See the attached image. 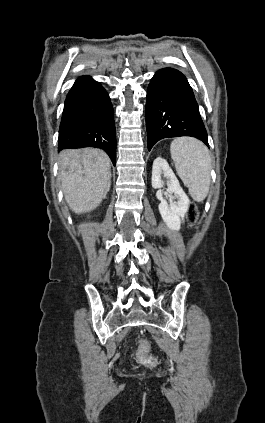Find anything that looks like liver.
<instances>
[{
    "instance_id": "liver-1",
    "label": "liver",
    "mask_w": 265,
    "mask_h": 423,
    "mask_svg": "<svg viewBox=\"0 0 265 423\" xmlns=\"http://www.w3.org/2000/svg\"><path fill=\"white\" fill-rule=\"evenodd\" d=\"M108 155L96 148L68 149L59 155V170L65 199L77 214L94 210L111 185Z\"/></svg>"
}]
</instances>
